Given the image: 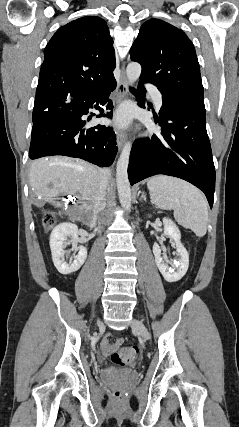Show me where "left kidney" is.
<instances>
[{
	"instance_id": "5707ae66",
	"label": "left kidney",
	"mask_w": 239,
	"mask_h": 427,
	"mask_svg": "<svg viewBox=\"0 0 239 427\" xmlns=\"http://www.w3.org/2000/svg\"><path fill=\"white\" fill-rule=\"evenodd\" d=\"M164 235L173 239L176 243V251L179 256L178 261H174L173 266L169 267L161 257V248L155 242L153 245V254L155 256L156 265L164 279L168 282H176L180 280L187 272L189 266V254L186 248L181 243V233L176 224L168 218L163 219Z\"/></svg>"
}]
</instances>
